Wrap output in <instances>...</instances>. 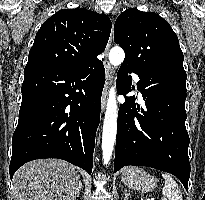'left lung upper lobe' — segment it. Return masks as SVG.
Returning a JSON list of instances; mask_svg holds the SVG:
<instances>
[{
    "label": "left lung upper lobe",
    "mask_w": 205,
    "mask_h": 200,
    "mask_svg": "<svg viewBox=\"0 0 205 200\" xmlns=\"http://www.w3.org/2000/svg\"><path fill=\"white\" fill-rule=\"evenodd\" d=\"M114 41L125 51L121 67L131 71L183 68L178 37L158 14L127 9L115 22Z\"/></svg>",
    "instance_id": "1"
}]
</instances>
